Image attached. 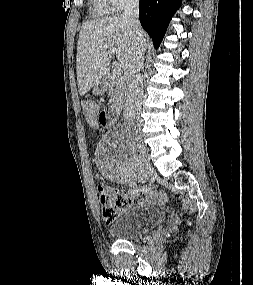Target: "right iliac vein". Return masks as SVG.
<instances>
[{
  "mask_svg": "<svg viewBox=\"0 0 253 285\" xmlns=\"http://www.w3.org/2000/svg\"><path fill=\"white\" fill-rule=\"evenodd\" d=\"M152 172V167L149 163H145L141 169L140 181L145 182L148 180Z\"/></svg>",
  "mask_w": 253,
  "mask_h": 285,
  "instance_id": "1",
  "label": "right iliac vein"
}]
</instances>
